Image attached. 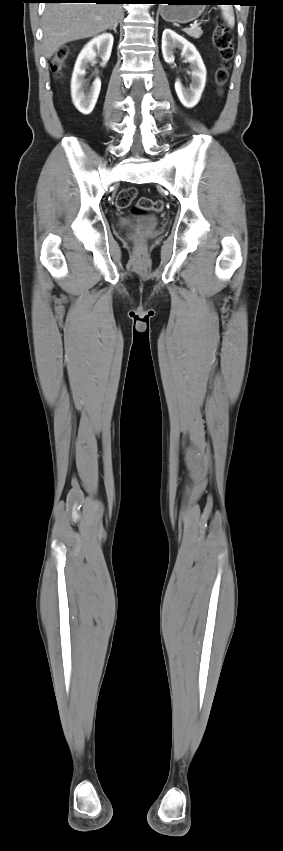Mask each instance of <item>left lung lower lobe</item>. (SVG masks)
Masks as SVG:
<instances>
[{"label":"left lung lower lobe","instance_id":"0a47b994","mask_svg":"<svg viewBox=\"0 0 283 851\" xmlns=\"http://www.w3.org/2000/svg\"><path fill=\"white\" fill-rule=\"evenodd\" d=\"M146 1H148L150 3H154V4H163V3H168V1H170V0H146ZM211 1L214 2V3H230V2H236L237 0H211Z\"/></svg>","mask_w":283,"mask_h":851}]
</instances>
